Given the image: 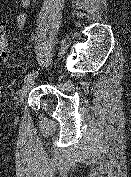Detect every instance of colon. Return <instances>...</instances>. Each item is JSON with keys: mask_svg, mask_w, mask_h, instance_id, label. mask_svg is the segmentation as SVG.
<instances>
[{"mask_svg": "<svg viewBox=\"0 0 131 177\" xmlns=\"http://www.w3.org/2000/svg\"><path fill=\"white\" fill-rule=\"evenodd\" d=\"M10 35L4 23H0V59L5 60L9 55Z\"/></svg>", "mask_w": 131, "mask_h": 177, "instance_id": "colon-1", "label": "colon"}]
</instances>
